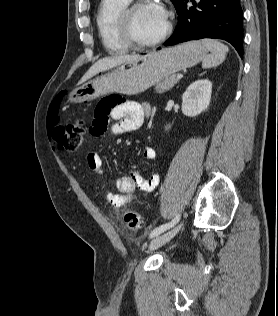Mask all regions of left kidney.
I'll return each instance as SVG.
<instances>
[{
  "label": "left kidney",
  "mask_w": 278,
  "mask_h": 316,
  "mask_svg": "<svg viewBox=\"0 0 278 316\" xmlns=\"http://www.w3.org/2000/svg\"><path fill=\"white\" fill-rule=\"evenodd\" d=\"M212 83L208 79L193 82L183 93L182 112L195 117L206 110L211 101Z\"/></svg>",
  "instance_id": "obj_1"
}]
</instances>
